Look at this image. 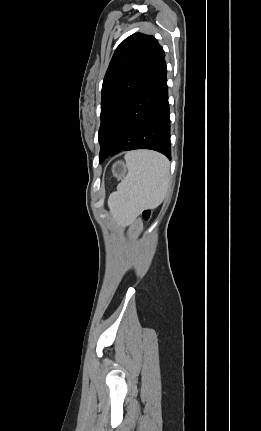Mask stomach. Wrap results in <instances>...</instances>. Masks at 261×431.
Listing matches in <instances>:
<instances>
[{"mask_svg": "<svg viewBox=\"0 0 261 431\" xmlns=\"http://www.w3.org/2000/svg\"><path fill=\"white\" fill-rule=\"evenodd\" d=\"M112 173L117 179H122L127 175V167L123 162L118 161L113 164Z\"/></svg>", "mask_w": 261, "mask_h": 431, "instance_id": "stomach-1", "label": "stomach"}]
</instances>
